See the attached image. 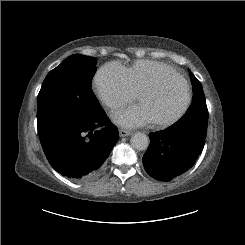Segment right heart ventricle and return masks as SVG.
I'll return each instance as SVG.
<instances>
[{
  "label": "right heart ventricle",
  "mask_w": 245,
  "mask_h": 245,
  "mask_svg": "<svg viewBox=\"0 0 245 245\" xmlns=\"http://www.w3.org/2000/svg\"><path fill=\"white\" fill-rule=\"evenodd\" d=\"M172 67L157 61L138 60L126 68L129 79L137 93L155 81L158 74Z\"/></svg>",
  "instance_id": "e07e8e85"
}]
</instances>
